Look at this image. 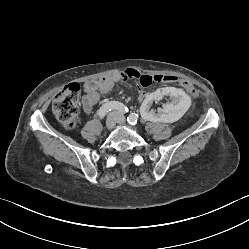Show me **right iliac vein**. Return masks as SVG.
<instances>
[{"mask_svg": "<svg viewBox=\"0 0 249 249\" xmlns=\"http://www.w3.org/2000/svg\"><path fill=\"white\" fill-rule=\"evenodd\" d=\"M119 119V114L116 112L111 113L106 120V127L107 129L111 130L115 127L116 122Z\"/></svg>", "mask_w": 249, "mask_h": 249, "instance_id": "63e3f726", "label": "right iliac vein"}]
</instances>
